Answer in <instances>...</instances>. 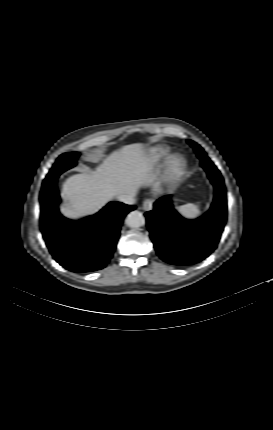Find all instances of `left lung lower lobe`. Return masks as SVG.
Instances as JSON below:
<instances>
[{"instance_id":"obj_1","label":"left lung lower lobe","mask_w":273,"mask_h":430,"mask_svg":"<svg viewBox=\"0 0 273 430\" xmlns=\"http://www.w3.org/2000/svg\"><path fill=\"white\" fill-rule=\"evenodd\" d=\"M215 187L210 210L196 220L181 217L171 205L170 196L154 203L145 214L150 236L160 258L175 266H188L208 257L216 248L226 223L227 200L224 180L209 158L201 161Z\"/></svg>"}]
</instances>
